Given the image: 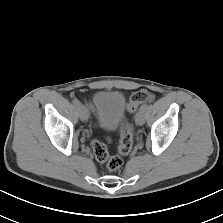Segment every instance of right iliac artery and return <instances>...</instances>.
Returning <instances> with one entry per match:
<instances>
[{"label":"right iliac artery","instance_id":"right-iliac-artery-1","mask_svg":"<svg viewBox=\"0 0 223 223\" xmlns=\"http://www.w3.org/2000/svg\"><path fill=\"white\" fill-rule=\"evenodd\" d=\"M72 103L74 106L78 107L80 105V102L77 99H73Z\"/></svg>","mask_w":223,"mask_h":223}]
</instances>
